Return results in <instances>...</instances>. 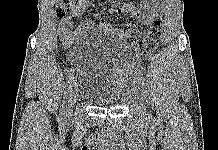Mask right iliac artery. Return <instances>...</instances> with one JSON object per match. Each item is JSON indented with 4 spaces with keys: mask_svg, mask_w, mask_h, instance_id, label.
I'll return each instance as SVG.
<instances>
[{
    "mask_svg": "<svg viewBox=\"0 0 218 150\" xmlns=\"http://www.w3.org/2000/svg\"><path fill=\"white\" fill-rule=\"evenodd\" d=\"M73 82H74V75H73L72 69H70L67 75V82H66L65 91H64L63 103H62V108L60 110L61 116L65 115L66 101L68 99V92L70 91Z\"/></svg>",
    "mask_w": 218,
    "mask_h": 150,
    "instance_id": "82829eb1",
    "label": "right iliac artery"
}]
</instances>
